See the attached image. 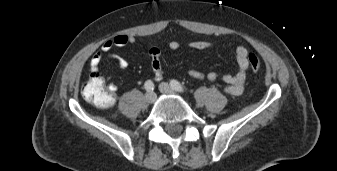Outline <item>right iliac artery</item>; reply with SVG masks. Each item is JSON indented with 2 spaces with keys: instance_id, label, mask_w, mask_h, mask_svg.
Listing matches in <instances>:
<instances>
[{
  "instance_id": "right-iliac-artery-1",
  "label": "right iliac artery",
  "mask_w": 337,
  "mask_h": 171,
  "mask_svg": "<svg viewBox=\"0 0 337 171\" xmlns=\"http://www.w3.org/2000/svg\"><path fill=\"white\" fill-rule=\"evenodd\" d=\"M145 89L150 92L154 90V83L151 80H147L144 84Z\"/></svg>"
}]
</instances>
